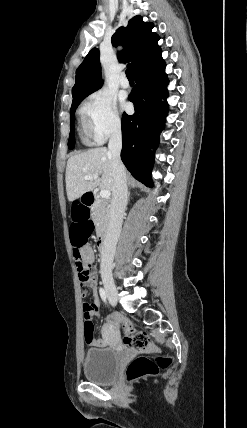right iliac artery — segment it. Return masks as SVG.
Segmentation results:
<instances>
[{
  "mask_svg": "<svg viewBox=\"0 0 247 428\" xmlns=\"http://www.w3.org/2000/svg\"><path fill=\"white\" fill-rule=\"evenodd\" d=\"M99 293H100L101 299H102L104 302H106V300H107V295H106L105 290H104L102 287L99 289Z\"/></svg>",
  "mask_w": 247,
  "mask_h": 428,
  "instance_id": "1",
  "label": "right iliac artery"
}]
</instances>
